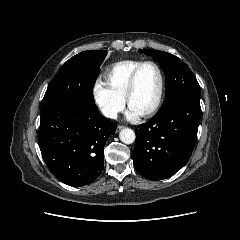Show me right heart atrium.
Masks as SVG:
<instances>
[{"label": "right heart atrium", "instance_id": "d8ad5b80", "mask_svg": "<svg viewBox=\"0 0 240 240\" xmlns=\"http://www.w3.org/2000/svg\"><path fill=\"white\" fill-rule=\"evenodd\" d=\"M92 98L101 113L110 119H115L125 106L124 97L117 94L102 80L94 82Z\"/></svg>", "mask_w": 240, "mask_h": 240}]
</instances>
